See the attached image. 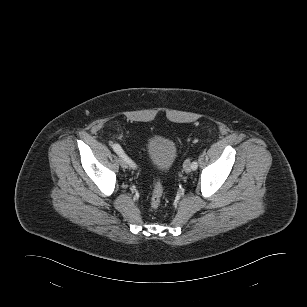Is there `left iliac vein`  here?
I'll list each match as a JSON object with an SVG mask.
<instances>
[{"instance_id":"left-iliac-vein-1","label":"left iliac vein","mask_w":307,"mask_h":307,"mask_svg":"<svg viewBox=\"0 0 307 307\" xmlns=\"http://www.w3.org/2000/svg\"><path fill=\"white\" fill-rule=\"evenodd\" d=\"M191 163L189 160H186L183 164V170L185 173H190L191 172Z\"/></svg>"}]
</instances>
